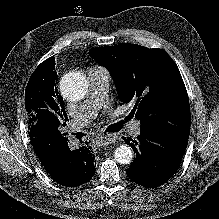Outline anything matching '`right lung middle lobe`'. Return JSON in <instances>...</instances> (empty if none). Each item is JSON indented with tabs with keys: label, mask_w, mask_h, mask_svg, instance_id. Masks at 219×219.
I'll list each match as a JSON object with an SVG mask.
<instances>
[{
	"label": "right lung middle lobe",
	"mask_w": 219,
	"mask_h": 219,
	"mask_svg": "<svg viewBox=\"0 0 219 219\" xmlns=\"http://www.w3.org/2000/svg\"><path fill=\"white\" fill-rule=\"evenodd\" d=\"M55 63L39 65L31 75L25 90V109L28 129L49 127L60 133L68 117L64 102L56 94L55 88L46 81L50 79ZM46 79V80H44Z\"/></svg>",
	"instance_id": "dd1d6c3e"
}]
</instances>
